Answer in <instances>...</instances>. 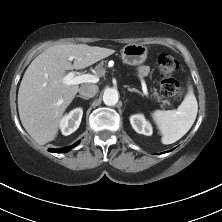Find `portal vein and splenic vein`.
<instances>
[{"label":"portal vein and splenic vein","mask_w":222,"mask_h":222,"mask_svg":"<svg viewBox=\"0 0 222 222\" xmlns=\"http://www.w3.org/2000/svg\"><path fill=\"white\" fill-rule=\"evenodd\" d=\"M63 81L66 85H77L81 83H97L99 81V77L92 74H83L75 76L74 72H70L66 76H64ZM141 84L144 94L148 95L145 81L142 80Z\"/></svg>","instance_id":"18ae733b"}]
</instances>
